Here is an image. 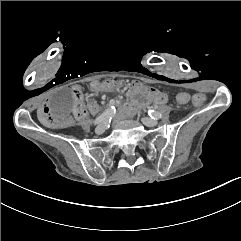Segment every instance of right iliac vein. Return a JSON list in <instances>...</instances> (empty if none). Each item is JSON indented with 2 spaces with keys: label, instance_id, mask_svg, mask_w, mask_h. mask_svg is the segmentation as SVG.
Listing matches in <instances>:
<instances>
[{
  "label": "right iliac vein",
  "instance_id": "obj_1",
  "mask_svg": "<svg viewBox=\"0 0 241 241\" xmlns=\"http://www.w3.org/2000/svg\"><path fill=\"white\" fill-rule=\"evenodd\" d=\"M104 131H105V127L102 124L98 125L95 129L96 134H102Z\"/></svg>",
  "mask_w": 241,
  "mask_h": 241
}]
</instances>
